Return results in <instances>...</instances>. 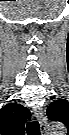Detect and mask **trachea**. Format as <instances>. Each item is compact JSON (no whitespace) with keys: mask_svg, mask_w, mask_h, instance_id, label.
Returning a JSON list of instances; mask_svg holds the SVG:
<instances>
[{"mask_svg":"<svg viewBox=\"0 0 69 135\" xmlns=\"http://www.w3.org/2000/svg\"><path fill=\"white\" fill-rule=\"evenodd\" d=\"M26 131L28 135H40V125L38 121H31L26 126Z\"/></svg>","mask_w":69,"mask_h":135,"instance_id":"obj_1","label":"trachea"}]
</instances>
